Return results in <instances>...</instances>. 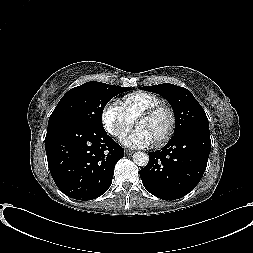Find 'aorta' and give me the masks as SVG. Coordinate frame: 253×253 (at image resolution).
<instances>
[{"instance_id": "762f6f07", "label": "aorta", "mask_w": 253, "mask_h": 253, "mask_svg": "<svg viewBox=\"0 0 253 253\" xmlns=\"http://www.w3.org/2000/svg\"><path fill=\"white\" fill-rule=\"evenodd\" d=\"M133 161L140 167H145L148 164L149 156L144 152H136L133 154Z\"/></svg>"}]
</instances>
